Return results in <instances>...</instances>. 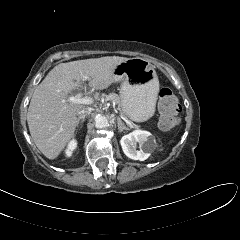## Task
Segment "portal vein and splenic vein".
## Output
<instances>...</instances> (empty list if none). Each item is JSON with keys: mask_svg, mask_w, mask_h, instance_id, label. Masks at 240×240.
Listing matches in <instances>:
<instances>
[{"mask_svg": "<svg viewBox=\"0 0 240 240\" xmlns=\"http://www.w3.org/2000/svg\"><path fill=\"white\" fill-rule=\"evenodd\" d=\"M87 79H88L87 75H84L82 77L83 81H86ZM68 100L70 102H72V103H77V104H87V105H89V104L93 103V99L92 98H90V97H82V93H78L75 96H71V97H69ZM123 119L125 120V122L127 124L131 125V122L128 119H126V118H123Z\"/></svg>", "mask_w": 240, "mask_h": 240, "instance_id": "1", "label": "portal vein and splenic vein"}]
</instances>
